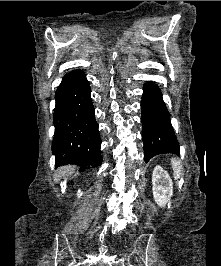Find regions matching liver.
I'll return each instance as SVG.
<instances>
[{
	"mask_svg": "<svg viewBox=\"0 0 221 266\" xmlns=\"http://www.w3.org/2000/svg\"><path fill=\"white\" fill-rule=\"evenodd\" d=\"M75 171V167L74 166H65V167H62L58 170V174L60 176H69L71 175L73 172Z\"/></svg>",
	"mask_w": 221,
	"mask_h": 266,
	"instance_id": "obj_1",
	"label": "liver"
}]
</instances>
